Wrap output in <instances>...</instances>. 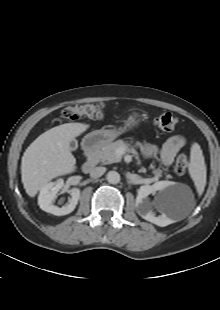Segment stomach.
<instances>
[{"label": "stomach", "mask_w": 220, "mask_h": 310, "mask_svg": "<svg viewBox=\"0 0 220 310\" xmlns=\"http://www.w3.org/2000/svg\"><path fill=\"white\" fill-rule=\"evenodd\" d=\"M141 120L142 118L140 117V115L133 114L129 116V118L125 122L124 127H121L117 130H95L87 134L84 138V141L88 142L91 148L101 147L113 141L120 134L137 126Z\"/></svg>", "instance_id": "0dacf381"}]
</instances>
